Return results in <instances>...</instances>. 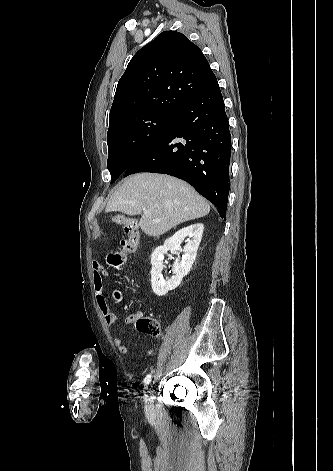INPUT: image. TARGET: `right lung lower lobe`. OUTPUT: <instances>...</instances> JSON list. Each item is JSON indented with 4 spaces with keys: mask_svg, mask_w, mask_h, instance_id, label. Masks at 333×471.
Returning <instances> with one entry per match:
<instances>
[{
    "mask_svg": "<svg viewBox=\"0 0 333 471\" xmlns=\"http://www.w3.org/2000/svg\"><path fill=\"white\" fill-rule=\"evenodd\" d=\"M231 139L216 82L183 105L172 124L126 169L124 176L154 172L187 181L213 203L225 220Z\"/></svg>",
    "mask_w": 333,
    "mask_h": 471,
    "instance_id": "98d812e1",
    "label": "right lung lower lobe"
}]
</instances>
